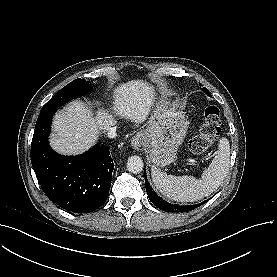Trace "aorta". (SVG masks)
<instances>
[{
  "mask_svg": "<svg viewBox=\"0 0 277 277\" xmlns=\"http://www.w3.org/2000/svg\"><path fill=\"white\" fill-rule=\"evenodd\" d=\"M144 163L141 157L139 156H131L127 160V169L129 172L137 174L143 170Z\"/></svg>",
  "mask_w": 277,
  "mask_h": 277,
  "instance_id": "762f6f07",
  "label": "aorta"
}]
</instances>
